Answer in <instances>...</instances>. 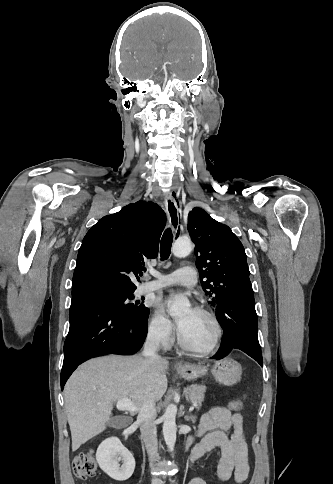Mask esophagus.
<instances>
[{"mask_svg":"<svg viewBox=\"0 0 333 484\" xmlns=\"http://www.w3.org/2000/svg\"><path fill=\"white\" fill-rule=\"evenodd\" d=\"M164 203H165L166 212L168 214L169 222L172 227V230L175 233H178L180 223H181V215H180L181 210L177 205L176 199L172 195H167L165 197Z\"/></svg>","mask_w":333,"mask_h":484,"instance_id":"obj_1","label":"esophagus"}]
</instances>
